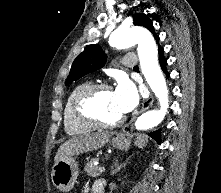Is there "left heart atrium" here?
<instances>
[{
  "label": "left heart atrium",
  "mask_w": 221,
  "mask_h": 193,
  "mask_svg": "<svg viewBox=\"0 0 221 193\" xmlns=\"http://www.w3.org/2000/svg\"><path fill=\"white\" fill-rule=\"evenodd\" d=\"M114 100L122 114L131 112L139 103V92L128 79H120L113 91Z\"/></svg>",
  "instance_id": "obj_1"
}]
</instances>
